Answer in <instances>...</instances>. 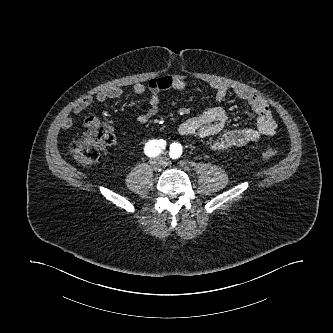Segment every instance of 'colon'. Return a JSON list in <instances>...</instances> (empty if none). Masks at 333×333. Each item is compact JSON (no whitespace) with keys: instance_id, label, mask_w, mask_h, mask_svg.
Instances as JSON below:
<instances>
[{"instance_id":"colon-1","label":"colon","mask_w":333,"mask_h":333,"mask_svg":"<svg viewBox=\"0 0 333 333\" xmlns=\"http://www.w3.org/2000/svg\"><path fill=\"white\" fill-rule=\"evenodd\" d=\"M114 140L115 134L112 130L94 127L71 144L70 153L80 165H92L101 159L102 153ZM277 155L278 151L273 148H265L259 154L262 160H270Z\"/></svg>"}]
</instances>
